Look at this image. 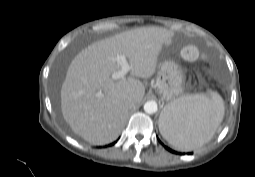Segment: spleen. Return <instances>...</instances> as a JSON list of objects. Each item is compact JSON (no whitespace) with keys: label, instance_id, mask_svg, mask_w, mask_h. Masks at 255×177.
<instances>
[{"label":"spleen","instance_id":"obj_1","mask_svg":"<svg viewBox=\"0 0 255 177\" xmlns=\"http://www.w3.org/2000/svg\"><path fill=\"white\" fill-rule=\"evenodd\" d=\"M164 110L159 118L162 136L173 148L190 151L212 139L224 116V102L216 92L195 94L178 98Z\"/></svg>","mask_w":255,"mask_h":177}]
</instances>
